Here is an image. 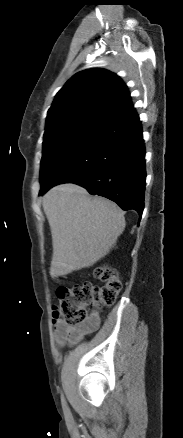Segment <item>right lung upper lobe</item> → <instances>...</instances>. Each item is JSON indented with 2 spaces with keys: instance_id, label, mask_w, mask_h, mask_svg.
<instances>
[{
  "instance_id": "cb5924a9",
  "label": "right lung upper lobe",
  "mask_w": 183,
  "mask_h": 438,
  "mask_svg": "<svg viewBox=\"0 0 183 438\" xmlns=\"http://www.w3.org/2000/svg\"><path fill=\"white\" fill-rule=\"evenodd\" d=\"M132 108L120 77L105 69L84 70L57 93L48 110L45 134L80 125L98 128Z\"/></svg>"
}]
</instances>
